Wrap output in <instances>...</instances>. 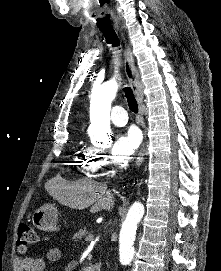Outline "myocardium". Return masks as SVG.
<instances>
[{"instance_id":"f54148a6","label":"myocardium","mask_w":221,"mask_h":271,"mask_svg":"<svg viewBox=\"0 0 221 271\" xmlns=\"http://www.w3.org/2000/svg\"><path fill=\"white\" fill-rule=\"evenodd\" d=\"M110 171H119V168H124L123 158H111ZM117 161V163H116Z\"/></svg>"}]
</instances>
